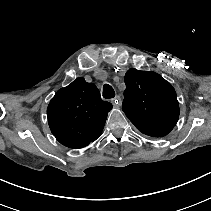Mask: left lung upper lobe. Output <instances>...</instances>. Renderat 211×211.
<instances>
[{"label": "left lung upper lobe", "mask_w": 211, "mask_h": 211, "mask_svg": "<svg viewBox=\"0 0 211 211\" xmlns=\"http://www.w3.org/2000/svg\"><path fill=\"white\" fill-rule=\"evenodd\" d=\"M122 109L135 127L150 137H163L176 125L180 113L177 94L159 74L130 69L125 77Z\"/></svg>", "instance_id": "5c2ea615"}]
</instances>
